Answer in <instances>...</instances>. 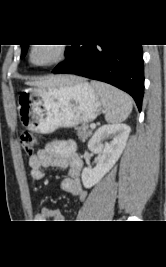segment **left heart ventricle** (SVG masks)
<instances>
[{"label": "left heart ventricle", "instance_id": "b2bd125f", "mask_svg": "<svg viewBox=\"0 0 166 267\" xmlns=\"http://www.w3.org/2000/svg\"><path fill=\"white\" fill-rule=\"evenodd\" d=\"M54 56V50L51 46L43 45L39 46L33 53V60L37 63L46 62L52 59Z\"/></svg>", "mask_w": 166, "mask_h": 267}]
</instances>
